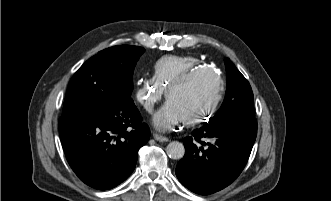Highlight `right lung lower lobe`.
<instances>
[{
  "mask_svg": "<svg viewBox=\"0 0 331 201\" xmlns=\"http://www.w3.org/2000/svg\"><path fill=\"white\" fill-rule=\"evenodd\" d=\"M59 132L72 170L99 190L114 188L131 175L138 150L150 138L131 98L62 116Z\"/></svg>",
  "mask_w": 331,
  "mask_h": 201,
  "instance_id": "right-lung-lower-lobe-1",
  "label": "right lung lower lobe"
}]
</instances>
